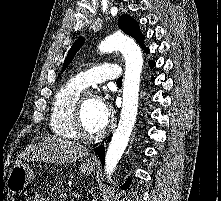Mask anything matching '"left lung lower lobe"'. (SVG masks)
Here are the masks:
<instances>
[{
  "label": "left lung lower lobe",
  "instance_id": "obj_1",
  "mask_svg": "<svg viewBox=\"0 0 221 201\" xmlns=\"http://www.w3.org/2000/svg\"><path fill=\"white\" fill-rule=\"evenodd\" d=\"M149 66L152 69L155 66V62L154 61H149ZM152 79H154L152 77ZM96 154L99 156L101 163L104 165V159H105V152H104V146H100L98 148L94 149ZM129 180L122 186L123 189H128L129 188Z\"/></svg>",
  "mask_w": 221,
  "mask_h": 201
}]
</instances>
